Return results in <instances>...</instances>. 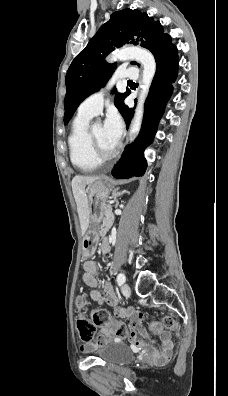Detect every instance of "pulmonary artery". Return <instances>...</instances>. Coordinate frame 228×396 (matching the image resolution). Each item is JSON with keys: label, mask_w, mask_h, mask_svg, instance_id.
Listing matches in <instances>:
<instances>
[{"label": "pulmonary artery", "mask_w": 228, "mask_h": 396, "mask_svg": "<svg viewBox=\"0 0 228 396\" xmlns=\"http://www.w3.org/2000/svg\"><path fill=\"white\" fill-rule=\"evenodd\" d=\"M137 78H138V70L136 68L129 67L123 69L116 77H114L111 81H109V83L104 88L100 89L99 91L91 94L86 99H84L78 108V112L91 116L97 115L102 110L106 91L109 90L116 81L122 79L135 80Z\"/></svg>", "instance_id": "obj_1"}]
</instances>
